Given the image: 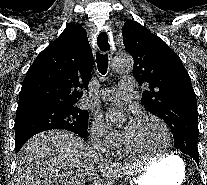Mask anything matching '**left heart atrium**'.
Returning a JSON list of instances; mask_svg holds the SVG:
<instances>
[{
	"instance_id": "left-heart-atrium-1",
	"label": "left heart atrium",
	"mask_w": 207,
	"mask_h": 185,
	"mask_svg": "<svg viewBox=\"0 0 207 185\" xmlns=\"http://www.w3.org/2000/svg\"><path fill=\"white\" fill-rule=\"evenodd\" d=\"M122 110L119 109V108H116V109H113L111 110L109 113H108V118L111 122L115 123L116 120H117V116L118 114L121 112ZM139 118L132 114L129 118V122H128V126L127 127H130V126H133L134 124H136L138 122Z\"/></svg>"
}]
</instances>
